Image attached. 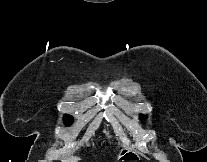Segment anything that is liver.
I'll use <instances>...</instances> for the list:
<instances>
[{
	"instance_id": "6515ba94",
	"label": "liver",
	"mask_w": 207,
	"mask_h": 162,
	"mask_svg": "<svg viewBox=\"0 0 207 162\" xmlns=\"http://www.w3.org/2000/svg\"><path fill=\"white\" fill-rule=\"evenodd\" d=\"M79 160H81L79 157L71 156V157L67 158L65 160V162H78Z\"/></svg>"
}]
</instances>
